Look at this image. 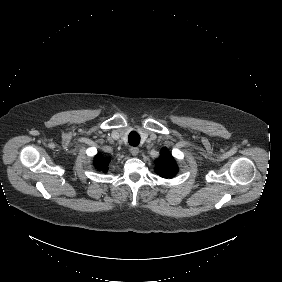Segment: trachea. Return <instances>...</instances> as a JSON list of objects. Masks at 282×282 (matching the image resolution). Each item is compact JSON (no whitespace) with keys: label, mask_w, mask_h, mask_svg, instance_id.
Returning <instances> with one entry per match:
<instances>
[{"label":"trachea","mask_w":282,"mask_h":282,"mask_svg":"<svg viewBox=\"0 0 282 282\" xmlns=\"http://www.w3.org/2000/svg\"><path fill=\"white\" fill-rule=\"evenodd\" d=\"M128 142L132 146H138L140 143L139 134L135 131L130 132V134L128 135Z\"/></svg>","instance_id":"1"}]
</instances>
